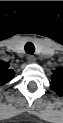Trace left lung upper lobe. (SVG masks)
<instances>
[{"instance_id": "5c2ea615", "label": "left lung upper lobe", "mask_w": 63, "mask_h": 123, "mask_svg": "<svg viewBox=\"0 0 63 123\" xmlns=\"http://www.w3.org/2000/svg\"><path fill=\"white\" fill-rule=\"evenodd\" d=\"M52 81L50 82L51 89L58 95L63 93V69L52 71Z\"/></svg>"}]
</instances>
